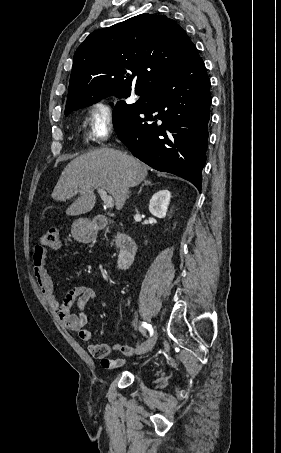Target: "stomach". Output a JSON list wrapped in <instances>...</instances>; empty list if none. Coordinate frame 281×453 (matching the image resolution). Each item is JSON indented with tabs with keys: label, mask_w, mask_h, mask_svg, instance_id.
<instances>
[{
	"label": "stomach",
	"mask_w": 281,
	"mask_h": 453,
	"mask_svg": "<svg viewBox=\"0 0 281 453\" xmlns=\"http://www.w3.org/2000/svg\"><path fill=\"white\" fill-rule=\"evenodd\" d=\"M73 239L79 243H91L95 239V229L88 218H76L71 229Z\"/></svg>",
	"instance_id": "obj_1"
}]
</instances>
